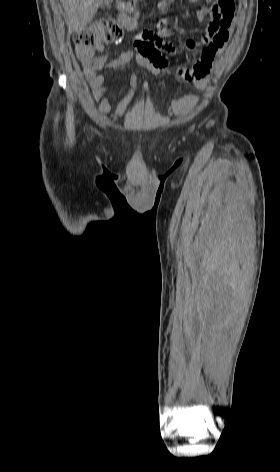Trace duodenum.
Returning a JSON list of instances; mask_svg holds the SVG:
<instances>
[{"label": "duodenum", "mask_w": 280, "mask_h": 472, "mask_svg": "<svg viewBox=\"0 0 280 472\" xmlns=\"http://www.w3.org/2000/svg\"><path fill=\"white\" fill-rule=\"evenodd\" d=\"M136 25V20L135 19H127L125 20V26L128 28V29H133Z\"/></svg>", "instance_id": "1"}]
</instances>
